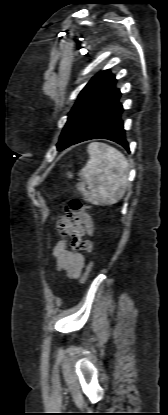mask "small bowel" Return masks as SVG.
Wrapping results in <instances>:
<instances>
[{"mask_svg":"<svg viewBox=\"0 0 168 415\" xmlns=\"http://www.w3.org/2000/svg\"><path fill=\"white\" fill-rule=\"evenodd\" d=\"M58 232L71 237L73 249L68 248L65 238L59 240L53 248L52 255L58 270L65 271L70 278H78L85 266L82 252H91L93 244L85 235L93 233V221L90 215L79 207H68L60 213ZM72 219L73 221L69 220Z\"/></svg>","mask_w":168,"mask_h":415,"instance_id":"c3829d8e","label":"small bowel"}]
</instances>
